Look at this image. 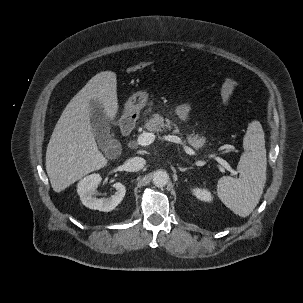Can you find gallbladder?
Returning <instances> with one entry per match:
<instances>
[{"instance_id": "1", "label": "gallbladder", "mask_w": 303, "mask_h": 303, "mask_svg": "<svg viewBox=\"0 0 303 303\" xmlns=\"http://www.w3.org/2000/svg\"><path fill=\"white\" fill-rule=\"evenodd\" d=\"M92 107V126L99 143L102 144L105 140H111L112 138L109 120L105 117L99 104L92 103Z\"/></svg>"}]
</instances>
